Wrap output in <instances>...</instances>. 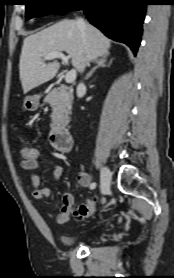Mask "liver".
Instances as JSON below:
<instances>
[{
	"label": "liver",
	"mask_w": 174,
	"mask_h": 278,
	"mask_svg": "<svg viewBox=\"0 0 174 278\" xmlns=\"http://www.w3.org/2000/svg\"><path fill=\"white\" fill-rule=\"evenodd\" d=\"M85 45L75 20H62L24 39L19 61V76L23 92L38 87L57 74V61L43 63L46 55L65 51L71 64L83 71L89 61L109 54L111 41L101 31L86 24Z\"/></svg>",
	"instance_id": "liver-1"
}]
</instances>
